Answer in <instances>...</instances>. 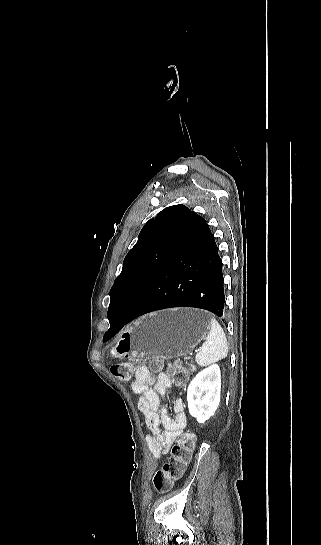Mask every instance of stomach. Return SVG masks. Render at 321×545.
<instances>
[{"instance_id":"obj_1","label":"stomach","mask_w":321,"mask_h":545,"mask_svg":"<svg viewBox=\"0 0 321 545\" xmlns=\"http://www.w3.org/2000/svg\"><path fill=\"white\" fill-rule=\"evenodd\" d=\"M210 317L200 309H165L136 319L119 333L111 351L113 359L187 355L204 339Z\"/></svg>"}]
</instances>
